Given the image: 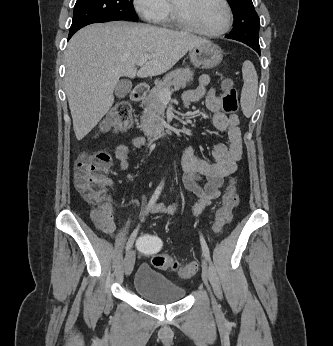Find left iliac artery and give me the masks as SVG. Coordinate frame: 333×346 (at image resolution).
Masks as SVG:
<instances>
[{
  "label": "left iliac artery",
  "mask_w": 333,
  "mask_h": 346,
  "mask_svg": "<svg viewBox=\"0 0 333 346\" xmlns=\"http://www.w3.org/2000/svg\"><path fill=\"white\" fill-rule=\"evenodd\" d=\"M200 241H201V246H202V251H203V255L205 256L207 261H210V252H209V248L203 238V236H200Z\"/></svg>",
  "instance_id": "obj_1"
}]
</instances>
